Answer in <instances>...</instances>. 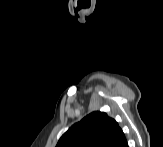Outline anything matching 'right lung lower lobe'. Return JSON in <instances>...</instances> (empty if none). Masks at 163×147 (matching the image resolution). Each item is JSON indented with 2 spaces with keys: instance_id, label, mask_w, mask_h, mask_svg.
I'll return each mask as SVG.
<instances>
[{
  "instance_id": "1",
  "label": "right lung lower lobe",
  "mask_w": 163,
  "mask_h": 147,
  "mask_svg": "<svg viewBox=\"0 0 163 147\" xmlns=\"http://www.w3.org/2000/svg\"><path fill=\"white\" fill-rule=\"evenodd\" d=\"M114 147H128L126 138L124 137L123 139H121L119 142H117Z\"/></svg>"
}]
</instances>
